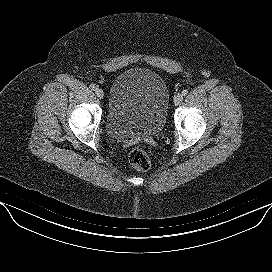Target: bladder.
<instances>
[{"label": "bladder", "mask_w": 272, "mask_h": 272, "mask_svg": "<svg viewBox=\"0 0 272 272\" xmlns=\"http://www.w3.org/2000/svg\"><path fill=\"white\" fill-rule=\"evenodd\" d=\"M164 78L144 67H131L113 80L106 111L108 134L118 140L151 137L163 129L169 107Z\"/></svg>", "instance_id": "1"}]
</instances>
